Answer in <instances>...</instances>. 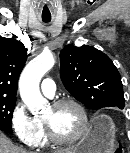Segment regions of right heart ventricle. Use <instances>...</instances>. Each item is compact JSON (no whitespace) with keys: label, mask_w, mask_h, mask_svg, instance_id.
<instances>
[{"label":"right heart ventricle","mask_w":130,"mask_h":153,"mask_svg":"<svg viewBox=\"0 0 130 153\" xmlns=\"http://www.w3.org/2000/svg\"><path fill=\"white\" fill-rule=\"evenodd\" d=\"M35 122H36L37 128H38V130L40 132V139H39L37 145L42 146V145L47 143L46 129H45L43 120L41 118H37L36 117L35 118Z\"/></svg>","instance_id":"right-heart-ventricle-1"}]
</instances>
